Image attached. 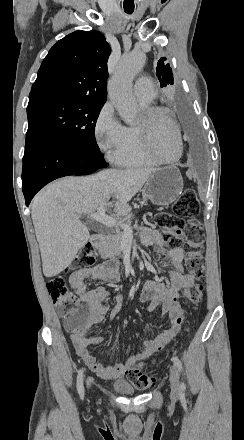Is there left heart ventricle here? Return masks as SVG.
<instances>
[{"label": "left heart ventricle", "mask_w": 244, "mask_h": 440, "mask_svg": "<svg viewBox=\"0 0 244 440\" xmlns=\"http://www.w3.org/2000/svg\"><path fill=\"white\" fill-rule=\"evenodd\" d=\"M142 115L136 124L141 123ZM157 124H150L148 128L152 131L148 136V143L159 151L164 159H170L176 154L177 135L169 123H165L163 116L158 117Z\"/></svg>", "instance_id": "obj_1"}]
</instances>
